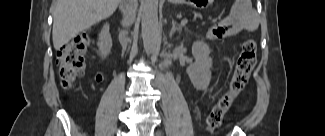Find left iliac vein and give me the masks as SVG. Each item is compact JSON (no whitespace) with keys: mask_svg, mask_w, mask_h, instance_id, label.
Here are the masks:
<instances>
[{"mask_svg":"<svg viewBox=\"0 0 325 136\" xmlns=\"http://www.w3.org/2000/svg\"><path fill=\"white\" fill-rule=\"evenodd\" d=\"M156 136H161V133L159 131H156Z\"/></svg>","mask_w":325,"mask_h":136,"instance_id":"4c4485c4","label":"left iliac vein"}]
</instances>
